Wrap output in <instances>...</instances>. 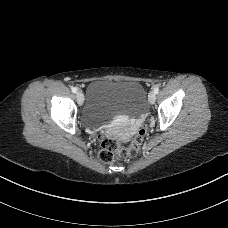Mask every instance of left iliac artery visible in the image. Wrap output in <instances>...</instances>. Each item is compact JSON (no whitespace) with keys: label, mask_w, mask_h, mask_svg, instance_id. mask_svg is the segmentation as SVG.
I'll list each match as a JSON object with an SVG mask.
<instances>
[{"label":"left iliac artery","mask_w":228,"mask_h":228,"mask_svg":"<svg viewBox=\"0 0 228 228\" xmlns=\"http://www.w3.org/2000/svg\"><path fill=\"white\" fill-rule=\"evenodd\" d=\"M153 91H154L155 94H157L159 92V87L158 86L154 87Z\"/></svg>","instance_id":"obj_1"}]
</instances>
